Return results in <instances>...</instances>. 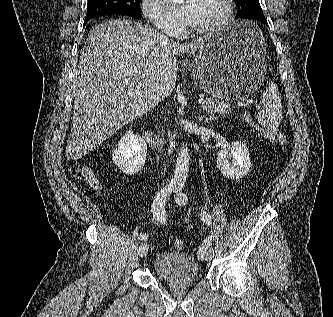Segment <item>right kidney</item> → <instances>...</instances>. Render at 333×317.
Segmentation results:
<instances>
[{"instance_id": "ca27d5eb", "label": "right kidney", "mask_w": 333, "mask_h": 317, "mask_svg": "<svg viewBox=\"0 0 333 317\" xmlns=\"http://www.w3.org/2000/svg\"><path fill=\"white\" fill-rule=\"evenodd\" d=\"M147 146L143 138L135 136L129 130L118 142L112 154V160L119 169L133 175L139 172L146 161Z\"/></svg>"}]
</instances>
